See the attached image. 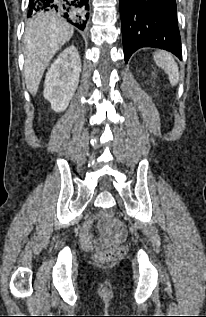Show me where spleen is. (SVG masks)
Returning a JSON list of instances; mask_svg holds the SVG:
<instances>
[{
	"label": "spleen",
	"mask_w": 206,
	"mask_h": 317,
	"mask_svg": "<svg viewBox=\"0 0 206 317\" xmlns=\"http://www.w3.org/2000/svg\"><path fill=\"white\" fill-rule=\"evenodd\" d=\"M154 61L167 73L170 83L176 85L179 80V71L173 56L166 52L157 51L154 53Z\"/></svg>",
	"instance_id": "spleen-1"
}]
</instances>
